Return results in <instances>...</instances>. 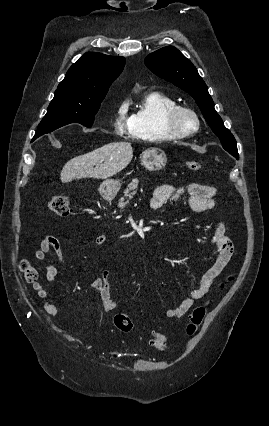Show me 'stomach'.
<instances>
[{"mask_svg":"<svg viewBox=\"0 0 269 426\" xmlns=\"http://www.w3.org/2000/svg\"><path fill=\"white\" fill-rule=\"evenodd\" d=\"M167 162L164 151L152 148L144 151L141 155V163L147 170L155 171L162 169ZM121 183L119 180L108 179L102 182L99 187V193L106 199H111L116 196Z\"/></svg>","mask_w":269,"mask_h":426,"instance_id":"obj_1","label":"stomach"}]
</instances>
